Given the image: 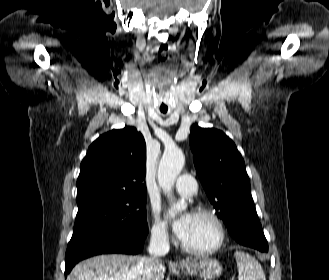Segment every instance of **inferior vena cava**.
Listing matches in <instances>:
<instances>
[{
	"mask_svg": "<svg viewBox=\"0 0 329 280\" xmlns=\"http://www.w3.org/2000/svg\"><path fill=\"white\" fill-rule=\"evenodd\" d=\"M170 249L168 234L165 230L152 231L148 247L149 257H143L140 261L143 280H151L152 272L162 266L159 257L165 256Z\"/></svg>",
	"mask_w": 329,
	"mask_h": 280,
	"instance_id": "obj_1",
	"label": "inferior vena cava"
}]
</instances>
